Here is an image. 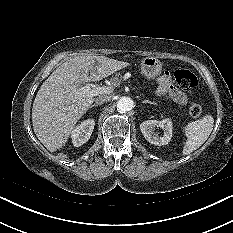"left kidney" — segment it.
<instances>
[{
    "instance_id": "5707ae66",
    "label": "left kidney",
    "mask_w": 233,
    "mask_h": 233,
    "mask_svg": "<svg viewBox=\"0 0 233 233\" xmlns=\"http://www.w3.org/2000/svg\"><path fill=\"white\" fill-rule=\"evenodd\" d=\"M162 128L164 133L162 136L155 132V128ZM140 129L147 141L154 145H167L172 138V121L169 118L161 121L148 120L140 124Z\"/></svg>"
}]
</instances>
